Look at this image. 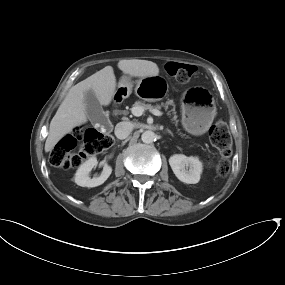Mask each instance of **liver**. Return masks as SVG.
Listing matches in <instances>:
<instances>
[{"instance_id":"obj_1","label":"liver","mask_w":285,"mask_h":285,"mask_svg":"<svg viewBox=\"0 0 285 285\" xmlns=\"http://www.w3.org/2000/svg\"><path fill=\"white\" fill-rule=\"evenodd\" d=\"M118 68L134 77L157 76L156 63L147 60H120ZM93 90L101 105L108 106L116 90V77L112 66H106L85 80L74 85L67 93L50 122L49 134L45 142V151H52L55 145L75 127L87 122L85 93Z\"/></svg>"}]
</instances>
